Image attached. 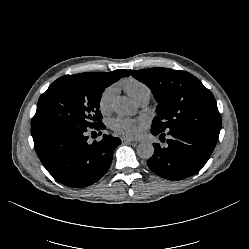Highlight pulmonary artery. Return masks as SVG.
Segmentation results:
<instances>
[{"mask_svg":"<svg viewBox=\"0 0 249 249\" xmlns=\"http://www.w3.org/2000/svg\"><path fill=\"white\" fill-rule=\"evenodd\" d=\"M149 101V98L148 97H144L140 100L137 101V103L140 105V106H145Z\"/></svg>","mask_w":249,"mask_h":249,"instance_id":"e3ab8cb5","label":"pulmonary artery"}]
</instances>
